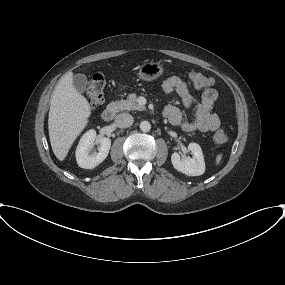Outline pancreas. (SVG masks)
I'll return each mask as SVG.
<instances>
[{
	"label": "pancreas",
	"mask_w": 285,
	"mask_h": 285,
	"mask_svg": "<svg viewBox=\"0 0 285 285\" xmlns=\"http://www.w3.org/2000/svg\"><path fill=\"white\" fill-rule=\"evenodd\" d=\"M111 106L114 108L116 112L119 111H131V110H145V106H141L137 103L136 94H130L126 100L115 101L111 103Z\"/></svg>",
	"instance_id": "1"
}]
</instances>
